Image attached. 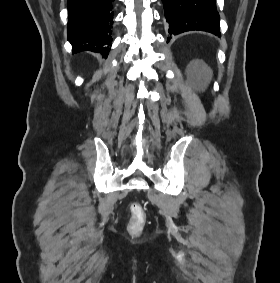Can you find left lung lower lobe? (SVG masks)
Wrapping results in <instances>:
<instances>
[{
  "label": "left lung lower lobe",
  "mask_w": 280,
  "mask_h": 283,
  "mask_svg": "<svg viewBox=\"0 0 280 283\" xmlns=\"http://www.w3.org/2000/svg\"><path fill=\"white\" fill-rule=\"evenodd\" d=\"M162 2L171 36L192 30L221 35L215 0H162ZM169 40L170 38L167 42Z\"/></svg>",
  "instance_id": "left-lung-lower-lobe-1"
}]
</instances>
